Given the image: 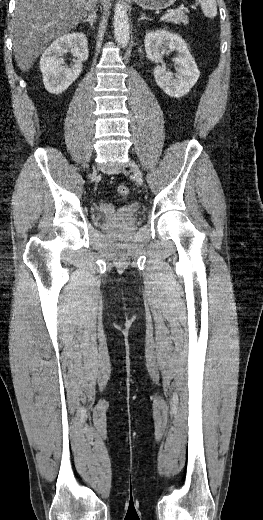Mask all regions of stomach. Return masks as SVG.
<instances>
[{
  "instance_id": "1",
  "label": "stomach",
  "mask_w": 263,
  "mask_h": 520,
  "mask_svg": "<svg viewBox=\"0 0 263 520\" xmlns=\"http://www.w3.org/2000/svg\"><path fill=\"white\" fill-rule=\"evenodd\" d=\"M176 0H133L143 9L161 10L170 7Z\"/></svg>"
}]
</instances>
